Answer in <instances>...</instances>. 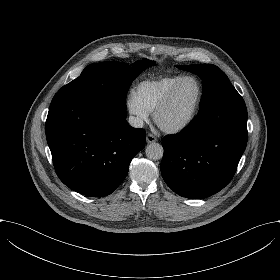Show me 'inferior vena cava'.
Instances as JSON below:
<instances>
[{"label": "inferior vena cava", "instance_id": "602c4592", "mask_svg": "<svg viewBox=\"0 0 280 280\" xmlns=\"http://www.w3.org/2000/svg\"><path fill=\"white\" fill-rule=\"evenodd\" d=\"M128 122L132 127L135 128L143 127V120L139 117L129 116Z\"/></svg>", "mask_w": 280, "mask_h": 280}]
</instances>
